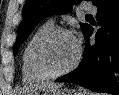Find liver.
<instances>
[{
  "label": "liver",
  "instance_id": "6515ba94",
  "mask_svg": "<svg viewBox=\"0 0 119 95\" xmlns=\"http://www.w3.org/2000/svg\"><path fill=\"white\" fill-rule=\"evenodd\" d=\"M61 85L53 84V83H42L38 84L33 87H28L23 89V94H28L30 92H33L34 90H46V89H54V88H59Z\"/></svg>",
  "mask_w": 119,
  "mask_h": 95
}]
</instances>
